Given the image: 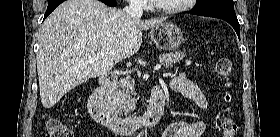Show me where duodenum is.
Listing matches in <instances>:
<instances>
[{
	"label": "duodenum",
	"mask_w": 280,
	"mask_h": 137,
	"mask_svg": "<svg viewBox=\"0 0 280 137\" xmlns=\"http://www.w3.org/2000/svg\"><path fill=\"white\" fill-rule=\"evenodd\" d=\"M116 81L113 74L102 78L88 99V109L91 116L99 123L119 134H132L157 125L164 113L165 96L160 85H154L151 90L147 112L133 119H119L113 116L105 107L107 92Z\"/></svg>",
	"instance_id": "410a0bca"
}]
</instances>
